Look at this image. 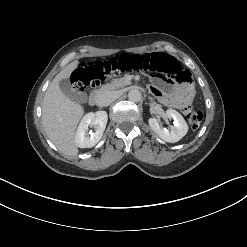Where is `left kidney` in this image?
I'll list each match as a JSON object with an SVG mask.
<instances>
[{"mask_svg": "<svg viewBox=\"0 0 247 247\" xmlns=\"http://www.w3.org/2000/svg\"><path fill=\"white\" fill-rule=\"evenodd\" d=\"M166 115L169 119L174 120V126L166 129L160 126L157 118L148 120L151 129L164 141L175 143L182 139L188 132V125L182 115L173 109H168Z\"/></svg>", "mask_w": 247, "mask_h": 247, "instance_id": "5707ae66", "label": "left kidney"}]
</instances>
